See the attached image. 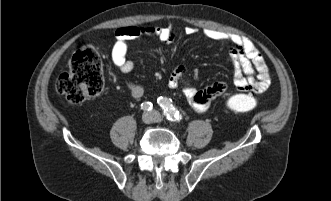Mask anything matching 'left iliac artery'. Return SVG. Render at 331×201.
<instances>
[{
  "label": "left iliac artery",
  "instance_id": "obj_1",
  "mask_svg": "<svg viewBox=\"0 0 331 201\" xmlns=\"http://www.w3.org/2000/svg\"><path fill=\"white\" fill-rule=\"evenodd\" d=\"M158 104L163 109L164 114L171 121L181 120L180 112L172 104V101L166 97H159L157 99Z\"/></svg>",
  "mask_w": 331,
  "mask_h": 201
}]
</instances>
